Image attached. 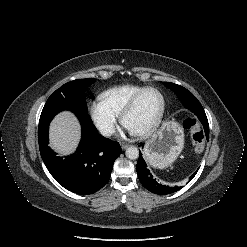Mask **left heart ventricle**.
I'll list each match as a JSON object with an SVG mask.
<instances>
[{
    "instance_id": "obj_1",
    "label": "left heart ventricle",
    "mask_w": 247,
    "mask_h": 247,
    "mask_svg": "<svg viewBox=\"0 0 247 247\" xmlns=\"http://www.w3.org/2000/svg\"><path fill=\"white\" fill-rule=\"evenodd\" d=\"M161 97L155 91H148L139 99L134 110L126 118V127L137 132L147 128L159 115Z\"/></svg>"
}]
</instances>
